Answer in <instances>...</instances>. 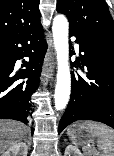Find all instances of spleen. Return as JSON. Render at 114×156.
I'll list each match as a JSON object with an SVG mask.
<instances>
[{
  "label": "spleen",
  "mask_w": 114,
  "mask_h": 156,
  "mask_svg": "<svg viewBox=\"0 0 114 156\" xmlns=\"http://www.w3.org/2000/svg\"><path fill=\"white\" fill-rule=\"evenodd\" d=\"M82 127L96 134L97 147L102 152L99 154L94 148L84 147L85 156H114V130L112 128L94 121H84Z\"/></svg>",
  "instance_id": "3e777b00"
}]
</instances>
